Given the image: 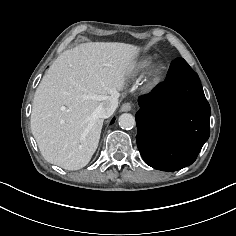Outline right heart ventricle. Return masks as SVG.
<instances>
[{"label": "right heart ventricle", "mask_w": 236, "mask_h": 236, "mask_svg": "<svg viewBox=\"0 0 236 236\" xmlns=\"http://www.w3.org/2000/svg\"><path fill=\"white\" fill-rule=\"evenodd\" d=\"M153 57L151 56H145L141 58L138 62L135 63V65L132 68V74L134 76H139L145 73L153 64Z\"/></svg>", "instance_id": "1"}]
</instances>
